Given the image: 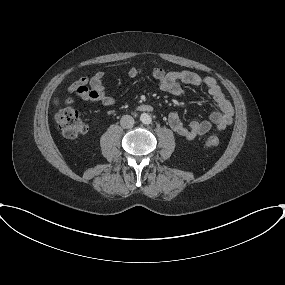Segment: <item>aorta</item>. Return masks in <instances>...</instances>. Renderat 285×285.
Masks as SVG:
<instances>
[{
    "mask_svg": "<svg viewBox=\"0 0 285 285\" xmlns=\"http://www.w3.org/2000/svg\"><path fill=\"white\" fill-rule=\"evenodd\" d=\"M140 121L144 124H150L152 121V118L149 114L147 113H142L140 116Z\"/></svg>",
    "mask_w": 285,
    "mask_h": 285,
    "instance_id": "aorta-1",
    "label": "aorta"
}]
</instances>
